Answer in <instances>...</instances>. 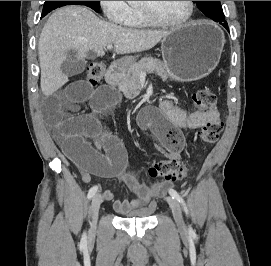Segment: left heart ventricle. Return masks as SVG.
<instances>
[{
  "label": "left heart ventricle",
  "instance_id": "obj_1",
  "mask_svg": "<svg viewBox=\"0 0 271 266\" xmlns=\"http://www.w3.org/2000/svg\"><path fill=\"white\" fill-rule=\"evenodd\" d=\"M140 6L151 9L166 21H180L188 13L187 1H141Z\"/></svg>",
  "mask_w": 271,
  "mask_h": 266
}]
</instances>
